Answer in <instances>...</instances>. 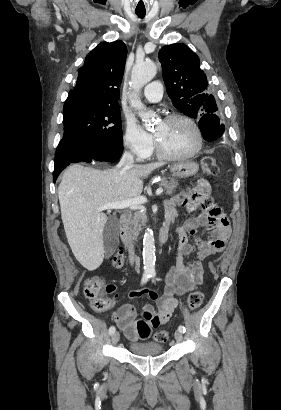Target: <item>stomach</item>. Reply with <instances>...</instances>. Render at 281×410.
<instances>
[{
	"instance_id": "obj_1",
	"label": "stomach",
	"mask_w": 281,
	"mask_h": 410,
	"mask_svg": "<svg viewBox=\"0 0 281 410\" xmlns=\"http://www.w3.org/2000/svg\"><path fill=\"white\" fill-rule=\"evenodd\" d=\"M199 166L193 161H183L175 163L170 167L173 176L178 178H187L197 173Z\"/></svg>"
}]
</instances>
